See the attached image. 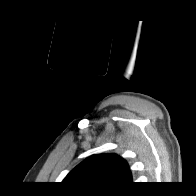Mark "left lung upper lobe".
Wrapping results in <instances>:
<instances>
[{
    "label": "left lung upper lobe",
    "mask_w": 196,
    "mask_h": 196,
    "mask_svg": "<svg viewBox=\"0 0 196 196\" xmlns=\"http://www.w3.org/2000/svg\"><path fill=\"white\" fill-rule=\"evenodd\" d=\"M63 183L80 190H112L132 183V175L127 162L120 156L99 154L76 166Z\"/></svg>",
    "instance_id": "1"
}]
</instances>
